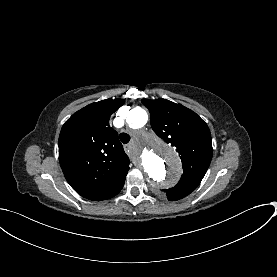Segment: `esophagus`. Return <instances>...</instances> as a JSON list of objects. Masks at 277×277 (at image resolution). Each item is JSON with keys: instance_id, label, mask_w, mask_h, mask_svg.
Masks as SVG:
<instances>
[{"instance_id": "obj_1", "label": "esophagus", "mask_w": 277, "mask_h": 277, "mask_svg": "<svg viewBox=\"0 0 277 277\" xmlns=\"http://www.w3.org/2000/svg\"><path fill=\"white\" fill-rule=\"evenodd\" d=\"M133 163L135 166H141V163L139 160H134Z\"/></svg>"}]
</instances>
